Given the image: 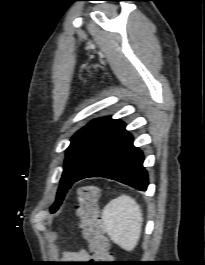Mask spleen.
<instances>
[{
    "mask_svg": "<svg viewBox=\"0 0 205 265\" xmlns=\"http://www.w3.org/2000/svg\"><path fill=\"white\" fill-rule=\"evenodd\" d=\"M103 226L110 239L132 251L140 239L143 214L135 199L122 194L111 200L102 212Z\"/></svg>",
    "mask_w": 205,
    "mask_h": 265,
    "instance_id": "obj_1",
    "label": "spleen"
}]
</instances>
